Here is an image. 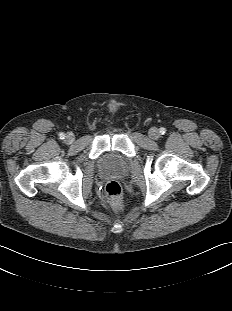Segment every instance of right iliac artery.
I'll return each mask as SVG.
<instances>
[{"label": "right iliac artery", "instance_id": "82829eb1", "mask_svg": "<svg viewBox=\"0 0 232 311\" xmlns=\"http://www.w3.org/2000/svg\"><path fill=\"white\" fill-rule=\"evenodd\" d=\"M59 138H60V139H64V138H65V134H64V133H60V134H59Z\"/></svg>", "mask_w": 232, "mask_h": 311}]
</instances>
